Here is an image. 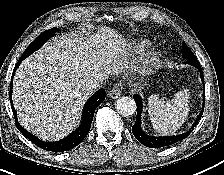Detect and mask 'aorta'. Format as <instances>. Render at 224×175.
<instances>
[{
	"label": "aorta",
	"mask_w": 224,
	"mask_h": 175,
	"mask_svg": "<svg viewBox=\"0 0 224 175\" xmlns=\"http://www.w3.org/2000/svg\"><path fill=\"white\" fill-rule=\"evenodd\" d=\"M116 108L121 115L127 117L136 112L137 106L132 98L123 96L117 100Z\"/></svg>",
	"instance_id": "aorta-1"
}]
</instances>
